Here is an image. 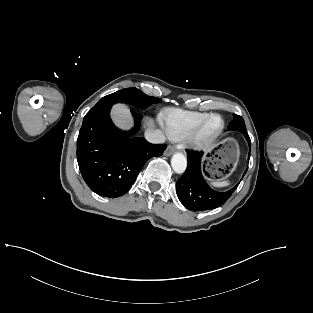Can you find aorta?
<instances>
[{"instance_id": "aorta-1", "label": "aorta", "mask_w": 313, "mask_h": 313, "mask_svg": "<svg viewBox=\"0 0 313 313\" xmlns=\"http://www.w3.org/2000/svg\"><path fill=\"white\" fill-rule=\"evenodd\" d=\"M171 166L175 173L182 174L187 167V159L182 153H175L171 159Z\"/></svg>"}]
</instances>
